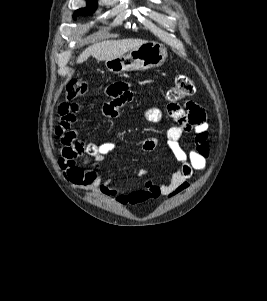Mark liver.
Here are the masks:
<instances>
[{"label":"liver","instance_id":"6515ba94","mask_svg":"<svg viewBox=\"0 0 267 301\" xmlns=\"http://www.w3.org/2000/svg\"><path fill=\"white\" fill-rule=\"evenodd\" d=\"M147 41L141 39L107 40L95 43L85 49L77 59V63H83L89 56H93L98 61H108L123 56L135 47Z\"/></svg>","mask_w":267,"mask_h":301}]
</instances>
